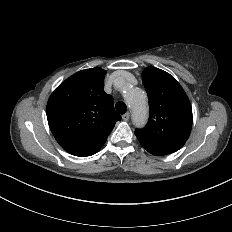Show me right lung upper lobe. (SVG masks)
<instances>
[{
	"mask_svg": "<svg viewBox=\"0 0 232 232\" xmlns=\"http://www.w3.org/2000/svg\"><path fill=\"white\" fill-rule=\"evenodd\" d=\"M105 74L100 67L81 70L59 85L48 100L51 132L72 155L97 153L121 120L114 110L113 97L103 90Z\"/></svg>",
	"mask_w": 232,
	"mask_h": 232,
	"instance_id": "1",
	"label": "right lung upper lobe"
}]
</instances>
